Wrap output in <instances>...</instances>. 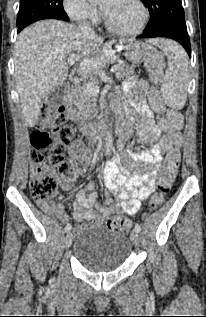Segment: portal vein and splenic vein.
<instances>
[{
  "label": "portal vein and splenic vein",
  "instance_id": "18ae733b",
  "mask_svg": "<svg viewBox=\"0 0 206 317\" xmlns=\"http://www.w3.org/2000/svg\"><path fill=\"white\" fill-rule=\"evenodd\" d=\"M77 59H78V58H77V55H76L75 53H70V54L68 55V58H67L68 63H69L70 65H74V64L76 63ZM92 65H93V63H90V62H84V63H82L83 70L89 69ZM120 67H121L120 64H116V65H114V66L112 67L111 71H112V72H115V71L119 70ZM83 89H84L88 94H90V95H92V96H96V95L98 94V92H99V87H98L95 83H93V82L85 83V84L83 85Z\"/></svg>",
  "mask_w": 206,
  "mask_h": 317
}]
</instances>
